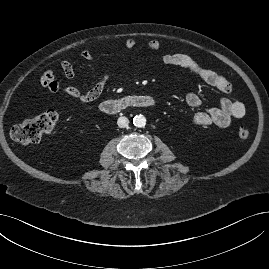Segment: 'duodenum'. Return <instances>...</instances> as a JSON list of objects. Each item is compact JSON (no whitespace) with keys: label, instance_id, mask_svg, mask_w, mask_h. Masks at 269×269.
I'll use <instances>...</instances> for the list:
<instances>
[{"label":"duodenum","instance_id":"1","mask_svg":"<svg viewBox=\"0 0 269 269\" xmlns=\"http://www.w3.org/2000/svg\"><path fill=\"white\" fill-rule=\"evenodd\" d=\"M155 105L151 96H126L105 100L100 104V110L109 115L117 114L128 108H150Z\"/></svg>","mask_w":269,"mask_h":269}]
</instances>
